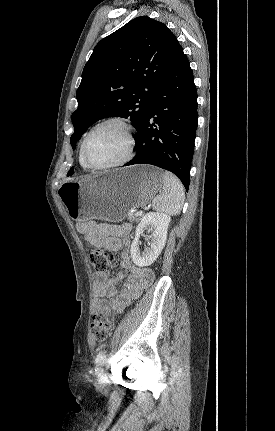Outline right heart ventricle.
<instances>
[{"label": "right heart ventricle", "mask_w": 275, "mask_h": 431, "mask_svg": "<svg viewBox=\"0 0 275 431\" xmlns=\"http://www.w3.org/2000/svg\"><path fill=\"white\" fill-rule=\"evenodd\" d=\"M79 160H80V164H81V166H82L83 168H88V167L84 164V162H83V160H82L81 153H80Z\"/></svg>", "instance_id": "right-heart-ventricle-1"}]
</instances>
